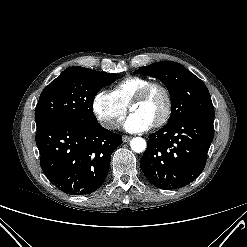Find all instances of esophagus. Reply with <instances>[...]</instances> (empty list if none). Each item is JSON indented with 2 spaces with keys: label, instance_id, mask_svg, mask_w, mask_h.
<instances>
[{
  "label": "esophagus",
  "instance_id": "obj_1",
  "mask_svg": "<svg viewBox=\"0 0 247 247\" xmlns=\"http://www.w3.org/2000/svg\"><path fill=\"white\" fill-rule=\"evenodd\" d=\"M122 140H123V142H128V141L131 140V137L125 135V136L122 137Z\"/></svg>",
  "mask_w": 247,
  "mask_h": 247
}]
</instances>
